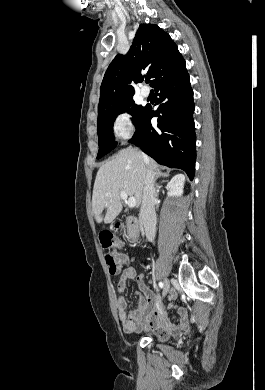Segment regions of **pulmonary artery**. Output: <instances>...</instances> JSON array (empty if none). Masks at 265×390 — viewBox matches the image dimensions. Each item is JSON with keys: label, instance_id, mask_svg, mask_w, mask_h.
<instances>
[{"label": "pulmonary artery", "instance_id": "1", "mask_svg": "<svg viewBox=\"0 0 265 390\" xmlns=\"http://www.w3.org/2000/svg\"><path fill=\"white\" fill-rule=\"evenodd\" d=\"M140 94L142 97L147 98L150 94V90L146 86L140 88Z\"/></svg>", "mask_w": 265, "mask_h": 390}]
</instances>
